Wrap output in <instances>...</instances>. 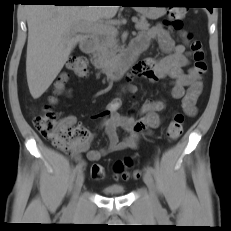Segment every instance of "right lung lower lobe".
I'll return each mask as SVG.
<instances>
[{"instance_id": "98d812e1", "label": "right lung lower lobe", "mask_w": 231, "mask_h": 231, "mask_svg": "<svg viewBox=\"0 0 231 231\" xmlns=\"http://www.w3.org/2000/svg\"><path fill=\"white\" fill-rule=\"evenodd\" d=\"M30 3H51L54 5H84L83 0H26Z\"/></svg>"}]
</instances>
